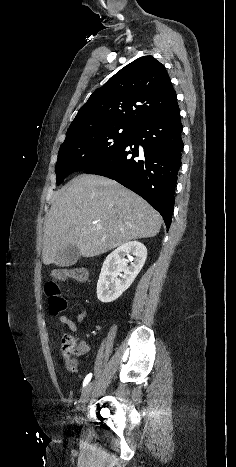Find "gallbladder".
<instances>
[{
    "label": "gallbladder",
    "mask_w": 236,
    "mask_h": 467,
    "mask_svg": "<svg viewBox=\"0 0 236 467\" xmlns=\"http://www.w3.org/2000/svg\"><path fill=\"white\" fill-rule=\"evenodd\" d=\"M80 251L74 245H67L60 249L55 257V264L59 267H69L78 261L80 258Z\"/></svg>",
    "instance_id": "1"
}]
</instances>
